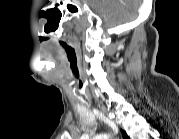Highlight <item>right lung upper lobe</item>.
<instances>
[{
    "instance_id": "obj_1",
    "label": "right lung upper lobe",
    "mask_w": 179,
    "mask_h": 139,
    "mask_svg": "<svg viewBox=\"0 0 179 139\" xmlns=\"http://www.w3.org/2000/svg\"><path fill=\"white\" fill-rule=\"evenodd\" d=\"M124 138H128L127 134L123 131L122 132Z\"/></svg>"
}]
</instances>
